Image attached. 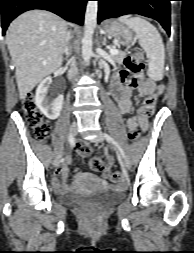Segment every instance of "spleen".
Wrapping results in <instances>:
<instances>
[{
	"instance_id": "1",
	"label": "spleen",
	"mask_w": 194,
	"mask_h": 253,
	"mask_svg": "<svg viewBox=\"0 0 194 253\" xmlns=\"http://www.w3.org/2000/svg\"><path fill=\"white\" fill-rule=\"evenodd\" d=\"M118 20L134 31L139 45L145 51L148 58L147 75L149 78L154 81L162 80L165 49L162 38L156 27L141 17L124 15L119 17Z\"/></svg>"
}]
</instances>
